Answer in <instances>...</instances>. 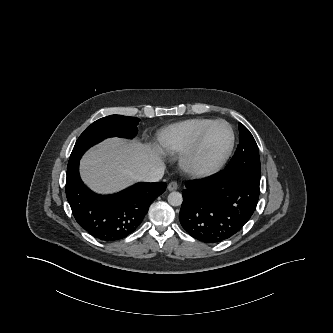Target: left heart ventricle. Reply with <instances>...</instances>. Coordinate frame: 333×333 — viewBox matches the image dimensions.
Masks as SVG:
<instances>
[{
  "label": "left heart ventricle",
  "instance_id": "b2bd125f",
  "mask_svg": "<svg viewBox=\"0 0 333 333\" xmlns=\"http://www.w3.org/2000/svg\"><path fill=\"white\" fill-rule=\"evenodd\" d=\"M230 141L228 128L223 124H216L209 132L198 161L201 165H210L217 161L225 152Z\"/></svg>",
  "mask_w": 333,
  "mask_h": 333
}]
</instances>
